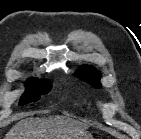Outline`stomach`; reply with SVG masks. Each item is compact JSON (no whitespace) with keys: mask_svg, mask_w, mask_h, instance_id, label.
<instances>
[{"mask_svg":"<svg viewBox=\"0 0 141 139\" xmlns=\"http://www.w3.org/2000/svg\"><path fill=\"white\" fill-rule=\"evenodd\" d=\"M79 139H93V138H92V136H90L88 134H84V135L80 136Z\"/></svg>","mask_w":141,"mask_h":139,"instance_id":"obj_1","label":"stomach"}]
</instances>
